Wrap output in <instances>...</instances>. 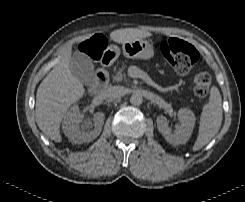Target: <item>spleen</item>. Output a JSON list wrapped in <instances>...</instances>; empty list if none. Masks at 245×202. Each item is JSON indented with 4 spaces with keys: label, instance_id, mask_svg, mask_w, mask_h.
<instances>
[{
    "label": "spleen",
    "instance_id": "1",
    "mask_svg": "<svg viewBox=\"0 0 245 202\" xmlns=\"http://www.w3.org/2000/svg\"><path fill=\"white\" fill-rule=\"evenodd\" d=\"M222 98L217 87L210 90L209 102L204 105L200 122L197 140L193 146V151H197L205 146L219 131L222 123Z\"/></svg>",
    "mask_w": 245,
    "mask_h": 202
}]
</instances>
